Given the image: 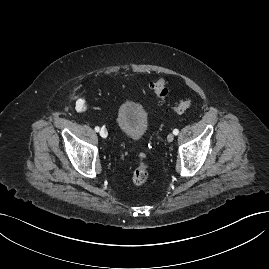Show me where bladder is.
<instances>
[{
    "label": "bladder",
    "instance_id": "obj_1",
    "mask_svg": "<svg viewBox=\"0 0 269 269\" xmlns=\"http://www.w3.org/2000/svg\"><path fill=\"white\" fill-rule=\"evenodd\" d=\"M117 125L123 137L138 140L147 131V114L139 104L130 100H124L118 107Z\"/></svg>",
    "mask_w": 269,
    "mask_h": 269
}]
</instances>
